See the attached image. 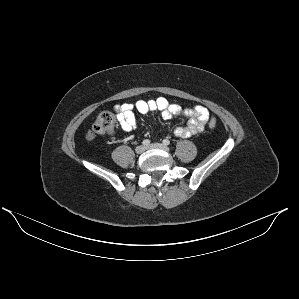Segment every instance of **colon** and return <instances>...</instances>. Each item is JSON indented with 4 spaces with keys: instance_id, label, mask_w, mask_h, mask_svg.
I'll return each mask as SVG.
<instances>
[{
    "instance_id": "5ec220e1",
    "label": "colon",
    "mask_w": 299,
    "mask_h": 299,
    "mask_svg": "<svg viewBox=\"0 0 299 299\" xmlns=\"http://www.w3.org/2000/svg\"><path fill=\"white\" fill-rule=\"evenodd\" d=\"M115 122L116 118L112 112L105 111L100 113L88 130L87 137L92 139L111 132L115 126ZM208 124L210 128H215L217 125L216 119L211 118Z\"/></svg>"
}]
</instances>
